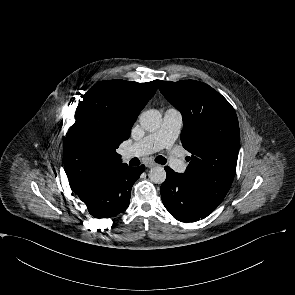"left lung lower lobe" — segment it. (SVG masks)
<instances>
[{
    "instance_id": "left-lung-lower-lobe-1",
    "label": "left lung lower lobe",
    "mask_w": 295,
    "mask_h": 295,
    "mask_svg": "<svg viewBox=\"0 0 295 295\" xmlns=\"http://www.w3.org/2000/svg\"><path fill=\"white\" fill-rule=\"evenodd\" d=\"M166 180L160 188L162 201L170 214L181 222H195L212 213L219 204L210 201L182 174L174 172L170 167L164 168Z\"/></svg>"
}]
</instances>
